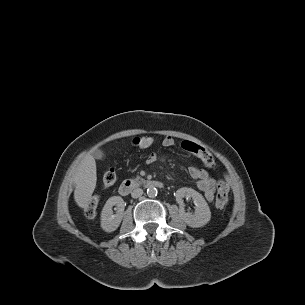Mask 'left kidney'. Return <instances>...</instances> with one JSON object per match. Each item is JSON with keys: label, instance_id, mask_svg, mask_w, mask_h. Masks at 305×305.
<instances>
[{"label": "left kidney", "instance_id": "5707ae66", "mask_svg": "<svg viewBox=\"0 0 305 305\" xmlns=\"http://www.w3.org/2000/svg\"><path fill=\"white\" fill-rule=\"evenodd\" d=\"M176 201L179 204V216L190 227L199 228L206 225L211 218L210 208L204 197L192 188L183 187L175 193ZM192 198L195 204V212H185L183 198Z\"/></svg>", "mask_w": 305, "mask_h": 305}]
</instances>
